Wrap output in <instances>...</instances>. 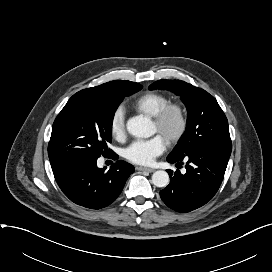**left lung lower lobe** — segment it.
Instances as JSON below:
<instances>
[{
	"label": "left lung lower lobe",
	"instance_id": "0a47b994",
	"mask_svg": "<svg viewBox=\"0 0 272 272\" xmlns=\"http://www.w3.org/2000/svg\"><path fill=\"white\" fill-rule=\"evenodd\" d=\"M231 150L232 144H213L184 157L168 156L167 161L176 165L186 160V173L167 170L170 183L160 191L163 202L177 212H190L210 201L222 183Z\"/></svg>",
	"mask_w": 272,
	"mask_h": 272
}]
</instances>
